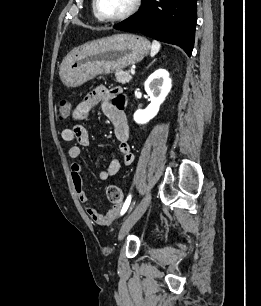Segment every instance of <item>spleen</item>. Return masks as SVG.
I'll return each mask as SVG.
<instances>
[{
  "instance_id": "obj_1",
  "label": "spleen",
  "mask_w": 261,
  "mask_h": 306,
  "mask_svg": "<svg viewBox=\"0 0 261 306\" xmlns=\"http://www.w3.org/2000/svg\"><path fill=\"white\" fill-rule=\"evenodd\" d=\"M161 44L158 41H153L151 46V56L154 57L160 50Z\"/></svg>"
}]
</instances>
